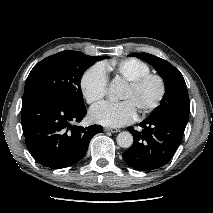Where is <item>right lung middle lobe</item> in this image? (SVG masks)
I'll list each match as a JSON object with an SVG mask.
<instances>
[{"instance_id": "obj_1", "label": "right lung middle lobe", "mask_w": 213, "mask_h": 213, "mask_svg": "<svg viewBox=\"0 0 213 213\" xmlns=\"http://www.w3.org/2000/svg\"><path fill=\"white\" fill-rule=\"evenodd\" d=\"M105 57H91L71 50L51 55L34 66L26 80L24 91L43 90L71 108H83L85 105L80 89L81 77L90 65Z\"/></svg>"}]
</instances>
